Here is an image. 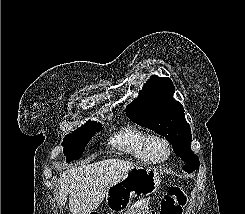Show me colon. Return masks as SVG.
Returning <instances> with one entry per match:
<instances>
[{
    "mask_svg": "<svg viewBox=\"0 0 245 214\" xmlns=\"http://www.w3.org/2000/svg\"><path fill=\"white\" fill-rule=\"evenodd\" d=\"M186 204V198L179 188H172L163 197L160 205V214H182L183 206ZM126 214H156L150 210L145 202L136 203L134 209Z\"/></svg>",
    "mask_w": 245,
    "mask_h": 214,
    "instance_id": "1",
    "label": "colon"
}]
</instances>
